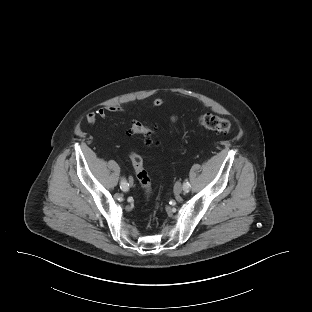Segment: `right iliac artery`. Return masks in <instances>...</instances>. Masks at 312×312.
Listing matches in <instances>:
<instances>
[{
    "mask_svg": "<svg viewBox=\"0 0 312 312\" xmlns=\"http://www.w3.org/2000/svg\"><path fill=\"white\" fill-rule=\"evenodd\" d=\"M129 184L127 183V181L123 178L120 182V188L123 190V191H127L129 188Z\"/></svg>",
    "mask_w": 312,
    "mask_h": 312,
    "instance_id": "82829eb1",
    "label": "right iliac artery"
}]
</instances>
